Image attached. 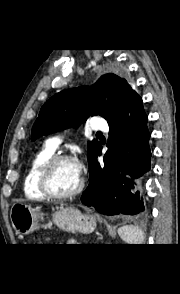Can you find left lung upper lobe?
Segmentation results:
<instances>
[{
  "mask_svg": "<svg viewBox=\"0 0 180 294\" xmlns=\"http://www.w3.org/2000/svg\"><path fill=\"white\" fill-rule=\"evenodd\" d=\"M137 93L127 81L113 73L99 78L92 86L61 91L41 108L32 129V141L42 135L77 127L89 116L112 120ZM97 140L88 142V162L99 148Z\"/></svg>",
  "mask_w": 180,
  "mask_h": 294,
  "instance_id": "1",
  "label": "left lung upper lobe"
}]
</instances>
